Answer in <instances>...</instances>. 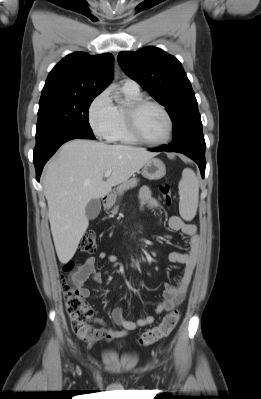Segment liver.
<instances>
[{"mask_svg":"<svg viewBox=\"0 0 261 399\" xmlns=\"http://www.w3.org/2000/svg\"><path fill=\"white\" fill-rule=\"evenodd\" d=\"M155 156L142 148L75 139L65 143L45 169L44 194L59 261L69 262L88 228L85 208L108 195ZM112 173L106 181L104 173Z\"/></svg>","mask_w":261,"mask_h":399,"instance_id":"liver-1","label":"liver"}]
</instances>
